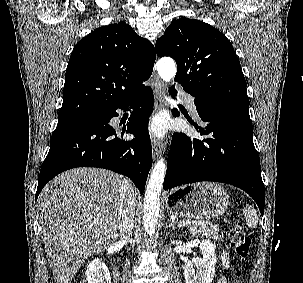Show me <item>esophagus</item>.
<instances>
[{"mask_svg":"<svg viewBox=\"0 0 303 283\" xmlns=\"http://www.w3.org/2000/svg\"><path fill=\"white\" fill-rule=\"evenodd\" d=\"M154 84H153V91L155 95V111L160 109L164 103V85L156 75V72H153ZM152 150H153V157L155 159L159 158L162 154V146L161 143L153 138L152 139Z\"/></svg>","mask_w":303,"mask_h":283,"instance_id":"obj_1","label":"esophagus"}]
</instances>
